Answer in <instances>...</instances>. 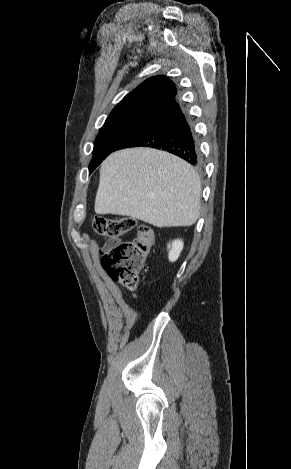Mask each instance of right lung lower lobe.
<instances>
[{
	"instance_id": "1",
	"label": "right lung lower lobe",
	"mask_w": 291,
	"mask_h": 469,
	"mask_svg": "<svg viewBox=\"0 0 291 469\" xmlns=\"http://www.w3.org/2000/svg\"><path fill=\"white\" fill-rule=\"evenodd\" d=\"M135 146L162 149L183 158L195 167L201 166L194 128L177 101L148 118L113 151Z\"/></svg>"
}]
</instances>
